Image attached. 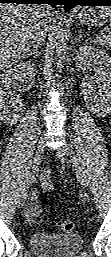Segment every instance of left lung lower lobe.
<instances>
[{"instance_id":"left-lung-lower-lobe-1","label":"left lung lower lobe","mask_w":111,"mask_h":257,"mask_svg":"<svg viewBox=\"0 0 111 257\" xmlns=\"http://www.w3.org/2000/svg\"><path fill=\"white\" fill-rule=\"evenodd\" d=\"M66 11H69L76 5L80 6H111V0H66Z\"/></svg>"}]
</instances>
